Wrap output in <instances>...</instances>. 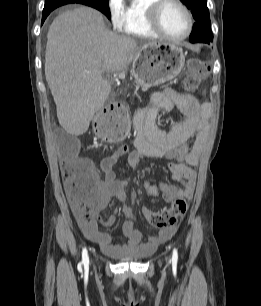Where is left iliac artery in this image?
Segmentation results:
<instances>
[{
  "mask_svg": "<svg viewBox=\"0 0 261 306\" xmlns=\"http://www.w3.org/2000/svg\"><path fill=\"white\" fill-rule=\"evenodd\" d=\"M177 260H178V253H177V250L174 248L173 249V253H172V263H177Z\"/></svg>",
  "mask_w": 261,
  "mask_h": 306,
  "instance_id": "1",
  "label": "left iliac artery"
}]
</instances>
